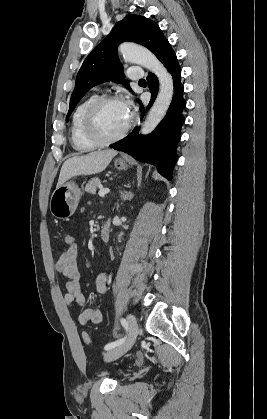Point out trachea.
Here are the masks:
<instances>
[{"instance_id":"1","label":"trachea","mask_w":267,"mask_h":419,"mask_svg":"<svg viewBox=\"0 0 267 419\" xmlns=\"http://www.w3.org/2000/svg\"><path fill=\"white\" fill-rule=\"evenodd\" d=\"M139 82H145V80L144 79H141Z\"/></svg>"}]
</instances>
